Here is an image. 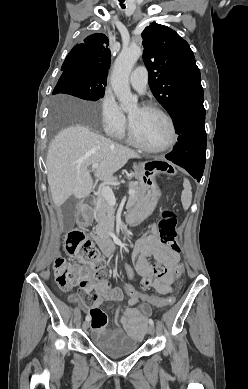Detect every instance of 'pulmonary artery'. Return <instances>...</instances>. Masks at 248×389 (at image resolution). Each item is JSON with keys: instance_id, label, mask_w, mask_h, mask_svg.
<instances>
[{"instance_id": "obj_1", "label": "pulmonary artery", "mask_w": 248, "mask_h": 389, "mask_svg": "<svg viewBox=\"0 0 248 389\" xmlns=\"http://www.w3.org/2000/svg\"><path fill=\"white\" fill-rule=\"evenodd\" d=\"M148 71L146 67L139 66L133 70L130 75V84L132 87L140 92L145 91L147 86Z\"/></svg>"}]
</instances>
